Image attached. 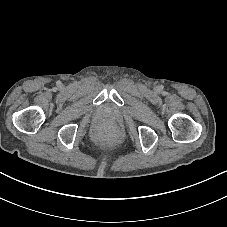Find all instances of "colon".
Segmentation results:
<instances>
[{"instance_id":"5ec220e1","label":"colon","mask_w":227,"mask_h":227,"mask_svg":"<svg viewBox=\"0 0 227 227\" xmlns=\"http://www.w3.org/2000/svg\"><path fill=\"white\" fill-rule=\"evenodd\" d=\"M117 129L113 126L109 125H104L102 130H101V140L105 142L112 141L116 138L117 136Z\"/></svg>"}]
</instances>
